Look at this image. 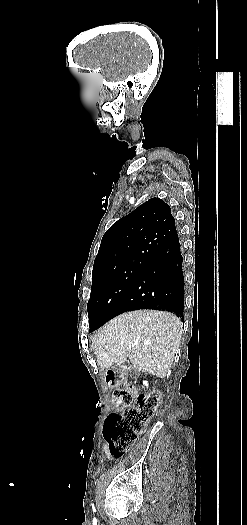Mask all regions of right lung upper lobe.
Masks as SVG:
<instances>
[{
	"instance_id": "right-lung-upper-lobe-1",
	"label": "right lung upper lobe",
	"mask_w": 247,
	"mask_h": 525,
	"mask_svg": "<svg viewBox=\"0 0 247 525\" xmlns=\"http://www.w3.org/2000/svg\"><path fill=\"white\" fill-rule=\"evenodd\" d=\"M176 234L169 205L159 198H151L105 232L93 272L128 267L148 257Z\"/></svg>"
}]
</instances>
